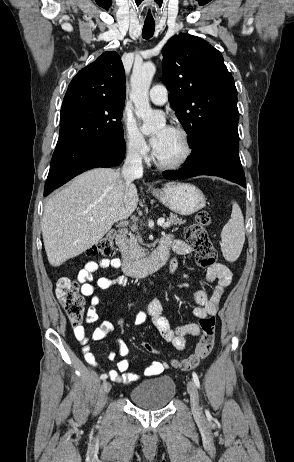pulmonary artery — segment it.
<instances>
[{"label": "pulmonary artery", "instance_id": "e3ab8cb5", "mask_svg": "<svg viewBox=\"0 0 294 462\" xmlns=\"http://www.w3.org/2000/svg\"><path fill=\"white\" fill-rule=\"evenodd\" d=\"M150 100L157 105H163L168 100V92L164 85H154L149 91Z\"/></svg>", "mask_w": 294, "mask_h": 462}]
</instances>
